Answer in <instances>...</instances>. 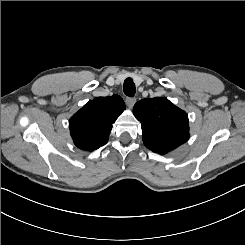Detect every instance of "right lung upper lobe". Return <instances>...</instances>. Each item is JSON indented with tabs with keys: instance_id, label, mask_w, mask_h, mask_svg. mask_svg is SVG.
<instances>
[{
	"instance_id": "cb5924a9",
	"label": "right lung upper lobe",
	"mask_w": 245,
	"mask_h": 245,
	"mask_svg": "<svg viewBox=\"0 0 245 245\" xmlns=\"http://www.w3.org/2000/svg\"><path fill=\"white\" fill-rule=\"evenodd\" d=\"M125 109L119 95L90 100L69 120L74 144L85 151H94L107 143L112 124Z\"/></svg>"
}]
</instances>
